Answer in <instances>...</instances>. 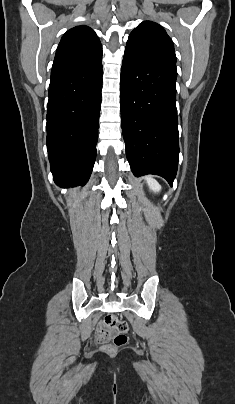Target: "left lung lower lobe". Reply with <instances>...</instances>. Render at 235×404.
<instances>
[{
    "label": "left lung lower lobe",
    "mask_w": 235,
    "mask_h": 404,
    "mask_svg": "<svg viewBox=\"0 0 235 404\" xmlns=\"http://www.w3.org/2000/svg\"><path fill=\"white\" fill-rule=\"evenodd\" d=\"M176 68L125 50L120 98L126 155L137 177L156 174L172 186L179 160Z\"/></svg>",
    "instance_id": "obj_1"
}]
</instances>
